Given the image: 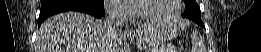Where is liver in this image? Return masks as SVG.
Listing matches in <instances>:
<instances>
[{
    "label": "liver",
    "mask_w": 261,
    "mask_h": 52,
    "mask_svg": "<svg viewBox=\"0 0 261 52\" xmlns=\"http://www.w3.org/2000/svg\"><path fill=\"white\" fill-rule=\"evenodd\" d=\"M148 34L146 27L134 31L138 39ZM122 39L120 31L109 33L103 20L67 12L54 15L41 24L35 52H126L122 51L126 50L121 47Z\"/></svg>",
    "instance_id": "liver-1"
}]
</instances>
